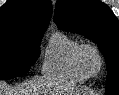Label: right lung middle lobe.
Wrapping results in <instances>:
<instances>
[{"mask_svg": "<svg viewBox=\"0 0 119 95\" xmlns=\"http://www.w3.org/2000/svg\"><path fill=\"white\" fill-rule=\"evenodd\" d=\"M45 30H18L0 35V80L12 79L29 71L40 54Z\"/></svg>", "mask_w": 119, "mask_h": 95, "instance_id": "obj_1", "label": "right lung middle lobe"}]
</instances>
